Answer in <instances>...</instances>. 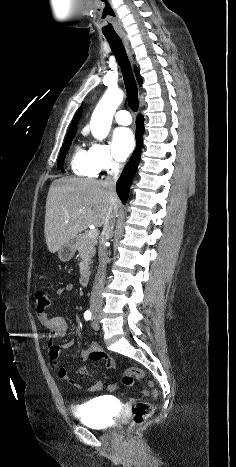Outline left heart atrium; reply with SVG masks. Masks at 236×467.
Masks as SVG:
<instances>
[{
  "label": "left heart atrium",
  "mask_w": 236,
  "mask_h": 467,
  "mask_svg": "<svg viewBox=\"0 0 236 467\" xmlns=\"http://www.w3.org/2000/svg\"><path fill=\"white\" fill-rule=\"evenodd\" d=\"M113 146L116 158L124 160L134 148V136L129 128L119 127L113 132Z\"/></svg>",
  "instance_id": "obj_1"
}]
</instances>
